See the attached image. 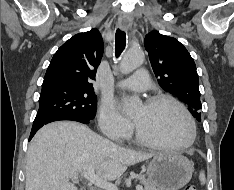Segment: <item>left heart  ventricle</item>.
Instances as JSON below:
<instances>
[{
	"label": "left heart ventricle",
	"mask_w": 234,
	"mask_h": 190,
	"mask_svg": "<svg viewBox=\"0 0 234 190\" xmlns=\"http://www.w3.org/2000/svg\"><path fill=\"white\" fill-rule=\"evenodd\" d=\"M133 120L149 138L162 143H183L190 136V127L182 111L168 101L140 105Z\"/></svg>",
	"instance_id": "b2bd125f"
}]
</instances>
